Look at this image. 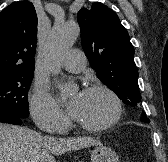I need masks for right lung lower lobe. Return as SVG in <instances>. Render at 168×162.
<instances>
[{
    "mask_svg": "<svg viewBox=\"0 0 168 162\" xmlns=\"http://www.w3.org/2000/svg\"><path fill=\"white\" fill-rule=\"evenodd\" d=\"M22 119L23 118H20V117L0 114V122H3V123L21 125Z\"/></svg>",
    "mask_w": 168,
    "mask_h": 162,
    "instance_id": "right-lung-lower-lobe-1",
    "label": "right lung lower lobe"
}]
</instances>
